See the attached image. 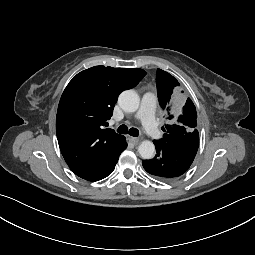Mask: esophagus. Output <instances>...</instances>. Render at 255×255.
Segmentation results:
<instances>
[{
	"label": "esophagus",
	"instance_id": "esophagus-1",
	"mask_svg": "<svg viewBox=\"0 0 255 255\" xmlns=\"http://www.w3.org/2000/svg\"><path fill=\"white\" fill-rule=\"evenodd\" d=\"M129 140L131 143H133L134 145H137L140 142L139 138L136 137H129Z\"/></svg>",
	"mask_w": 255,
	"mask_h": 255
}]
</instances>
